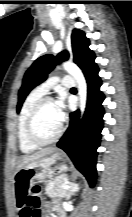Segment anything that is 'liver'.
I'll use <instances>...</instances> for the list:
<instances>
[{"label":"liver","mask_w":132,"mask_h":217,"mask_svg":"<svg viewBox=\"0 0 132 217\" xmlns=\"http://www.w3.org/2000/svg\"><path fill=\"white\" fill-rule=\"evenodd\" d=\"M57 151H59V150L56 148H45V149L37 151L31 155H25V156L20 157L16 163V172L20 168L27 165L28 163L33 162V161L38 160V159H41L43 157L49 156V155H51Z\"/></svg>","instance_id":"6515ba94"}]
</instances>
